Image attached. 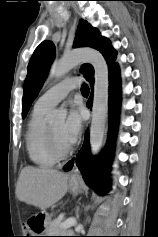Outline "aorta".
<instances>
[{
	"label": "aorta",
	"instance_id": "aorta-1",
	"mask_svg": "<svg viewBox=\"0 0 158 237\" xmlns=\"http://www.w3.org/2000/svg\"><path fill=\"white\" fill-rule=\"evenodd\" d=\"M82 62L90 63L94 68L95 84L90 129V148L91 154L95 156L102 146L107 120L109 73L105 59L94 49H78L65 54L59 60H55L51 66L49 76L50 78L61 77ZM65 118L66 113L64 111L55 110L51 115L50 121L52 123H60Z\"/></svg>",
	"mask_w": 158,
	"mask_h": 237
}]
</instances>
